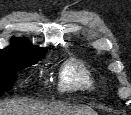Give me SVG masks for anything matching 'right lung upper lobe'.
<instances>
[{
  "label": "right lung upper lobe",
  "mask_w": 131,
  "mask_h": 115,
  "mask_svg": "<svg viewBox=\"0 0 131 115\" xmlns=\"http://www.w3.org/2000/svg\"><path fill=\"white\" fill-rule=\"evenodd\" d=\"M12 44L0 50V68H6L10 62L27 55H43L47 52L44 48L31 45L23 39H11Z\"/></svg>",
  "instance_id": "cb5924a9"
}]
</instances>
